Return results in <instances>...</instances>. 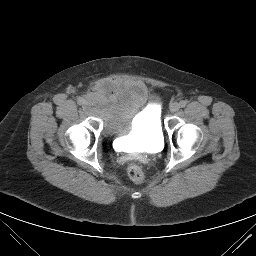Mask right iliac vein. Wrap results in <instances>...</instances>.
Returning <instances> with one entry per match:
<instances>
[{
    "instance_id": "1",
    "label": "right iliac vein",
    "mask_w": 256,
    "mask_h": 256,
    "mask_svg": "<svg viewBox=\"0 0 256 256\" xmlns=\"http://www.w3.org/2000/svg\"><path fill=\"white\" fill-rule=\"evenodd\" d=\"M84 106H85L86 108H89V107L91 106V103H90L89 101H86V102L84 103Z\"/></svg>"
}]
</instances>
